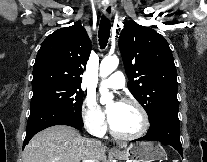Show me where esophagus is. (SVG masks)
<instances>
[{
  "label": "esophagus",
  "instance_id": "34e87169",
  "mask_svg": "<svg viewBox=\"0 0 207 162\" xmlns=\"http://www.w3.org/2000/svg\"><path fill=\"white\" fill-rule=\"evenodd\" d=\"M103 14L110 20L113 14V7L110 4H106L103 8Z\"/></svg>",
  "mask_w": 207,
  "mask_h": 162
}]
</instances>
